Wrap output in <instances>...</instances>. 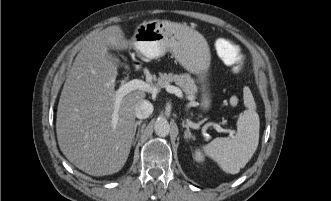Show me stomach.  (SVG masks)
Instances as JSON below:
<instances>
[{"mask_svg": "<svg viewBox=\"0 0 331 201\" xmlns=\"http://www.w3.org/2000/svg\"><path fill=\"white\" fill-rule=\"evenodd\" d=\"M129 45L148 59H157L170 52L188 72L198 75L202 85L201 108H210V97L204 84L210 66V50L205 38L180 23L152 20L139 24Z\"/></svg>", "mask_w": 331, "mask_h": 201, "instance_id": "0dacf381", "label": "stomach"}]
</instances>
